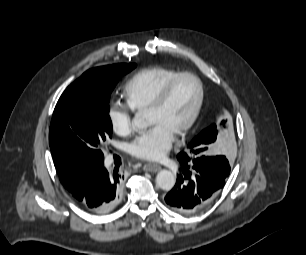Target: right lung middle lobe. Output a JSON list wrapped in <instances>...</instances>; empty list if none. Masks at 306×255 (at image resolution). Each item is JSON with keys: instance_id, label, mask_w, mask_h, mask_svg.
Wrapping results in <instances>:
<instances>
[{"instance_id": "right-lung-middle-lobe-1", "label": "right lung middle lobe", "mask_w": 306, "mask_h": 255, "mask_svg": "<svg viewBox=\"0 0 306 255\" xmlns=\"http://www.w3.org/2000/svg\"><path fill=\"white\" fill-rule=\"evenodd\" d=\"M135 67L136 64H115L104 78H79L59 98L50 125L49 145L65 188L75 186L88 167L103 165L102 147L112 137L109 97L120 77Z\"/></svg>"}]
</instances>
